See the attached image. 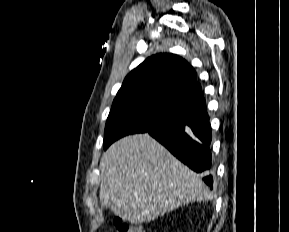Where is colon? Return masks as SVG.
Masks as SVG:
<instances>
[{
    "mask_svg": "<svg viewBox=\"0 0 289 232\" xmlns=\"http://www.w3.org/2000/svg\"><path fill=\"white\" fill-rule=\"evenodd\" d=\"M114 225L117 232H146L141 226L129 224L121 217L114 219Z\"/></svg>",
    "mask_w": 289,
    "mask_h": 232,
    "instance_id": "5ec220e1",
    "label": "colon"
}]
</instances>
